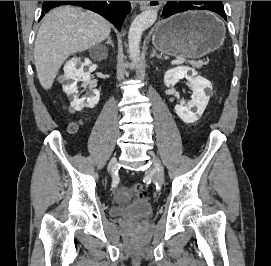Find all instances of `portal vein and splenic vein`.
<instances>
[{"label": "portal vein and splenic vein", "instance_id": "portal-vein-and-splenic-vein-1", "mask_svg": "<svg viewBox=\"0 0 271 266\" xmlns=\"http://www.w3.org/2000/svg\"><path fill=\"white\" fill-rule=\"evenodd\" d=\"M185 60L184 59H177V60H173L171 61V64L176 65V64H181L184 63ZM202 63V61H192L191 64L194 66H199Z\"/></svg>", "mask_w": 271, "mask_h": 266}]
</instances>
